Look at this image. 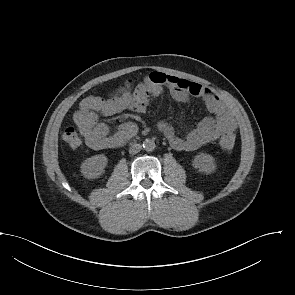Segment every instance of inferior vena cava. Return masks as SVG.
Instances as JSON below:
<instances>
[{"instance_id":"inferior-vena-cava-1","label":"inferior vena cava","mask_w":295,"mask_h":295,"mask_svg":"<svg viewBox=\"0 0 295 295\" xmlns=\"http://www.w3.org/2000/svg\"><path fill=\"white\" fill-rule=\"evenodd\" d=\"M141 148H142V146L140 144L133 143L130 146L129 153L136 154V153L140 152Z\"/></svg>"}]
</instances>
